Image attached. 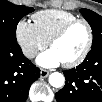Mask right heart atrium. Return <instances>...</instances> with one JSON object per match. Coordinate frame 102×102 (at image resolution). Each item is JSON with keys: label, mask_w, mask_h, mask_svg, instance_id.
<instances>
[{"label": "right heart atrium", "mask_w": 102, "mask_h": 102, "mask_svg": "<svg viewBox=\"0 0 102 102\" xmlns=\"http://www.w3.org/2000/svg\"><path fill=\"white\" fill-rule=\"evenodd\" d=\"M16 38L23 54L32 58L47 47L48 42L40 35L33 23L20 20L16 25Z\"/></svg>", "instance_id": "obj_1"}]
</instances>
